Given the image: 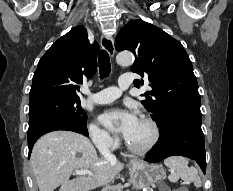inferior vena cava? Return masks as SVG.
<instances>
[{"label":"inferior vena cava","instance_id":"602c4592","mask_svg":"<svg viewBox=\"0 0 233 191\" xmlns=\"http://www.w3.org/2000/svg\"><path fill=\"white\" fill-rule=\"evenodd\" d=\"M100 152L103 155V157L105 158V160L110 161V162L116 161V157L114 154L111 153L108 144H103L100 147Z\"/></svg>","mask_w":233,"mask_h":191}]
</instances>
